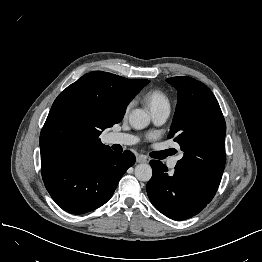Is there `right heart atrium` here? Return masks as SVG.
Here are the masks:
<instances>
[{"label": "right heart atrium", "mask_w": 262, "mask_h": 262, "mask_svg": "<svg viewBox=\"0 0 262 262\" xmlns=\"http://www.w3.org/2000/svg\"><path fill=\"white\" fill-rule=\"evenodd\" d=\"M130 106H131V104H129V105L126 107V111L129 110Z\"/></svg>", "instance_id": "1"}]
</instances>
